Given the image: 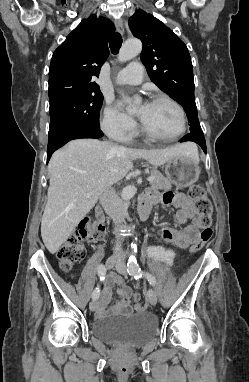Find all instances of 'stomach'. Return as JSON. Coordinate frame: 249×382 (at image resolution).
I'll return each instance as SVG.
<instances>
[{
  "label": "stomach",
  "instance_id": "0dacf381",
  "mask_svg": "<svg viewBox=\"0 0 249 382\" xmlns=\"http://www.w3.org/2000/svg\"><path fill=\"white\" fill-rule=\"evenodd\" d=\"M199 159L191 155L180 154L169 160L165 167L168 179L178 187L194 184L200 174Z\"/></svg>",
  "mask_w": 249,
  "mask_h": 382
}]
</instances>
